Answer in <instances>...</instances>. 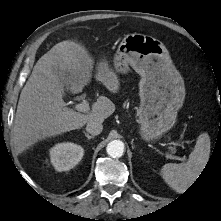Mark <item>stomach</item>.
Wrapping results in <instances>:
<instances>
[{
  "label": "stomach",
  "mask_w": 221,
  "mask_h": 221,
  "mask_svg": "<svg viewBox=\"0 0 221 221\" xmlns=\"http://www.w3.org/2000/svg\"><path fill=\"white\" fill-rule=\"evenodd\" d=\"M114 66L120 73H126L131 66L141 76L139 133L147 142L159 139L175 125L185 98L183 78L168 50L151 36L129 34L118 46Z\"/></svg>",
  "instance_id": "1"
}]
</instances>
